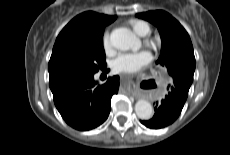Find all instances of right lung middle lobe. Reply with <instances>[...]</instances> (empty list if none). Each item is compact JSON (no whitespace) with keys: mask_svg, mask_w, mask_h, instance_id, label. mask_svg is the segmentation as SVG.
I'll return each mask as SVG.
<instances>
[{"mask_svg":"<svg viewBox=\"0 0 230 155\" xmlns=\"http://www.w3.org/2000/svg\"><path fill=\"white\" fill-rule=\"evenodd\" d=\"M103 41L92 45L62 46L52 51L49 76L96 73L105 65Z\"/></svg>","mask_w":230,"mask_h":155,"instance_id":"obj_1","label":"right lung middle lobe"}]
</instances>
